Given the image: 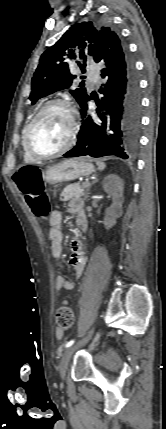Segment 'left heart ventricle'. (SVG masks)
Instances as JSON below:
<instances>
[{"mask_svg":"<svg viewBox=\"0 0 166 429\" xmlns=\"http://www.w3.org/2000/svg\"><path fill=\"white\" fill-rule=\"evenodd\" d=\"M69 133V118L62 107H54L38 120L31 135V146L39 154H51L62 148Z\"/></svg>","mask_w":166,"mask_h":429,"instance_id":"left-heart-ventricle-1","label":"left heart ventricle"}]
</instances>
